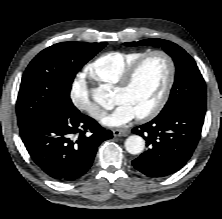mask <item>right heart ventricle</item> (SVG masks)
Returning a JSON list of instances; mask_svg holds the SVG:
<instances>
[{"mask_svg": "<svg viewBox=\"0 0 222 219\" xmlns=\"http://www.w3.org/2000/svg\"><path fill=\"white\" fill-rule=\"evenodd\" d=\"M146 51H110L86 67V73L101 84L117 85L125 70Z\"/></svg>", "mask_w": 222, "mask_h": 219, "instance_id": "1", "label": "right heart ventricle"}]
</instances>
